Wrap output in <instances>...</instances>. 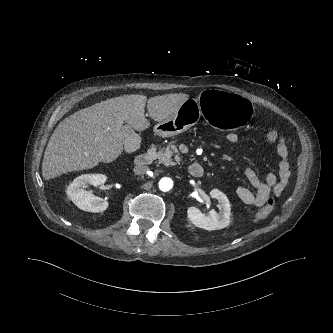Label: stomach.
<instances>
[{
    "label": "stomach",
    "instance_id": "1",
    "mask_svg": "<svg viewBox=\"0 0 333 333\" xmlns=\"http://www.w3.org/2000/svg\"><path fill=\"white\" fill-rule=\"evenodd\" d=\"M198 109L210 123L222 128L243 127L252 116V107L246 98L211 88L202 94L199 106L197 101L187 99L176 113L155 125L154 133L166 138L186 131L197 120Z\"/></svg>",
    "mask_w": 333,
    "mask_h": 333
}]
</instances>
